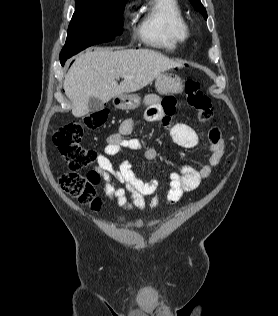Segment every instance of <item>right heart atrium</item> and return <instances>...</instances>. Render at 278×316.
I'll list each match as a JSON object with an SVG mask.
<instances>
[{
	"instance_id": "obj_1",
	"label": "right heart atrium",
	"mask_w": 278,
	"mask_h": 316,
	"mask_svg": "<svg viewBox=\"0 0 278 316\" xmlns=\"http://www.w3.org/2000/svg\"><path fill=\"white\" fill-rule=\"evenodd\" d=\"M127 16H130V13L129 12H127V14H126Z\"/></svg>"
}]
</instances>
